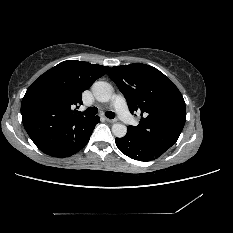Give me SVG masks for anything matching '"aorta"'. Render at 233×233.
<instances>
[{"mask_svg":"<svg viewBox=\"0 0 233 233\" xmlns=\"http://www.w3.org/2000/svg\"><path fill=\"white\" fill-rule=\"evenodd\" d=\"M92 92L94 97L99 102H108L113 93L112 86L104 81H97L92 85ZM112 133L118 137L122 138L127 133V127L120 123H115L112 126Z\"/></svg>","mask_w":233,"mask_h":233,"instance_id":"aorta-1","label":"aorta"}]
</instances>
